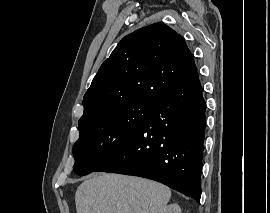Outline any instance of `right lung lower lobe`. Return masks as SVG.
I'll return each instance as SVG.
<instances>
[{
  "mask_svg": "<svg viewBox=\"0 0 270 213\" xmlns=\"http://www.w3.org/2000/svg\"><path fill=\"white\" fill-rule=\"evenodd\" d=\"M205 108L196 71L158 101L137 132L95 171L155 180L199 203Z\"/></svg>",
  "mask_w": 270,
  "mask_h": 213,
  "instance_id": "right-lung-lower-lobe-1",
  "label": "right lung lower lobe"
}]
</instances>
